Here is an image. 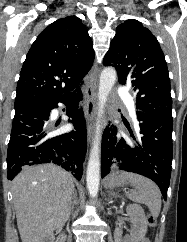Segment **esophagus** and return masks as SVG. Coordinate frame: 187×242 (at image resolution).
<instances>
[{
  "instance_id": "1",
  "label": "esophagus",
  "mask_w": 187,
  "mask_h": 242,
  "mask_svg": "<svg viewBox=\"0 0 187 242\" xmlns=\"http://www.w3.org/2000/svg\"><path fill=\"white\" fill-rule=\"evenodd\" d=\"M97 66L95 65L90 72V82L86 87V108L85 118L87 125L88 140L93 136L94 120L96 115V100H97Z\"/></svg>"
}]
</instances>
